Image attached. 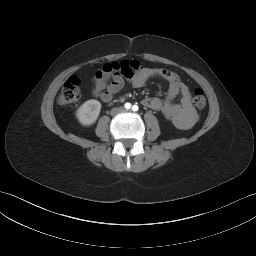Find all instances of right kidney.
Masks as SVG:
<instances>
[{"instance_id": "right-kidney-1", "label": "right kidney", "mask_w": 256, "mask_h": 256, "mask_svg": "<svg viewBox=\"0 0 256 256\" xmlns=\"http://www.w3.org/2000/svg\"><path fill=\"white\" fill-rule=\"evenodd\" d=\"M100 110L101 103L98 100L90 99L77 109L76 117L82 125L89 126L97 120Z\"/></svg>"}]
</instances>
